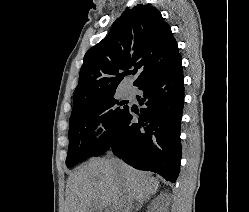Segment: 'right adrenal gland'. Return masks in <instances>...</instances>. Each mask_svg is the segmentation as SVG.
I'll return each mask as SVG.
<instances>
[{
	"label": "right adrenal gland",
	"mask_w": 249,
	"mask_h": 212,
	"mask_svg": "<svg viewBox=\"0 0 249 212\" xmlns=\"http://www.w3.org/2000/svg\"><path fill=\"white\" fill-rule=\"evenodd\" d=\"M146 202H147V200H146ZM146 202H144V200H142V202H138V206H136L135 212H139V210H141L143 204H146Z\"/></svg>",
	"instance_id": "right-adrenal-gland-1"
}]
</instances>
